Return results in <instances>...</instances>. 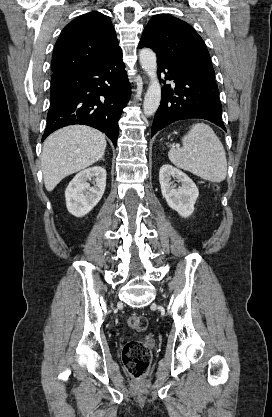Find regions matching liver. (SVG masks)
<instances>
[{
    "label": "liver",
    "instance_id": "liver-1",
    "mask_svg": "<svg viewBox=\"0 0 272 417\" xmlns=\"http://www.w3.org/2000/svg\"><path fill=\"white\" fill-rule=\"evenodd\" d=\"M106 145L103 133L84 125H72L52 133L43 144L41 158L46 190L51 192L66 176L100 160Z\"/></svg>",
    "mask_w": 272,
    "mask_h": 417
}]
</instances>
